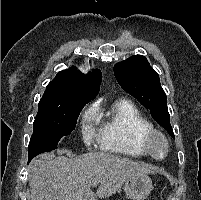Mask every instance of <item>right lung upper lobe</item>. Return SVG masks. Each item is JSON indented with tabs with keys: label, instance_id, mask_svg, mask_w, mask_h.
I'll list each match as a JSON object with an SVG mask.
<instances>
[{
	"label": "right lung upper lobe",
	"instance_id": "1",
	"mask_svg": "<svg viewBox=\"0 0 201 200\" xmlns=\"http://www.w3.org/2000/svg\"><path fill=\"white\" fill-rule=\"evenodd\" d=\"M102 74L95 69L87 75L74 68L60 71L47 85L43 98L54 100H92L100 90Z\"/></svg>",
	"mask_w": 201,
	"mask_h": 200
}]
</instances>
